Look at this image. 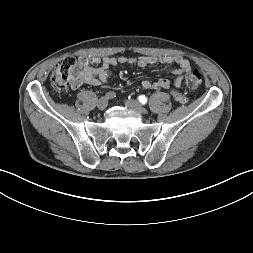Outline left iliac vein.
<instances>
[{"instance_id":"4c4485c4","label":"left iliac vein","mask_w":253,"mask_h":253,"mask_svg":"<svg viewBox=\"0 0 253 253\" xmlns=\"http://www.w3.org/2000/svg\"><path fill=\"white\" fill-rule=\"evenodd\" d=\"M125 105L129 109H131V110H133V111H135L139 114H145L146 113L145 107L136 100H133V99L126 100Z\"/></svg>"}]
</instances>
